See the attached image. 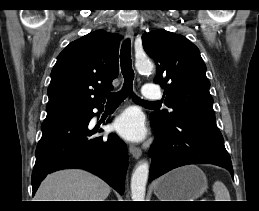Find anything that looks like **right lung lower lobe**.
<instances>
[{
  "instance_id": "98d812e1",
  "label": "right lung lower lobe",
  "mask_w": 259,
  "mask_h": 211,
  "mask_svg": "<svg viewBox=\"0 0 259 211\" xmlns=\"http://www.w3.org/2000/svg\"><path fill=\"white\" fill-rule=\"evenodd\" d=\"M94 115L91 110L44 120L32 172L33 195L47 174L65 168L90 171L124 193L127 147L115 134L94 136L97 130L88 128Z\"/></svg>"
}]
</instances>
